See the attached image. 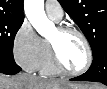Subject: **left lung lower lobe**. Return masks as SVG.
Returning a JSON list of instances; mask_svg holds the SVG:
<instances>
[{"label": "left lung lower lobe", "mask_w": 107, "mask_h": 89, "mask_svg": "<svg viewBox=\"0 0 107 89\" xmlns=\"http://www.w3.org/2000/svg\"><path fill=\"white\" fill-rule=\"evenodd\" d=\"M71 80L101 82L107 85V46L93 53V62L89 70Z\"/></svg>", "instance_id": "0a47b994"}]
</instances>
